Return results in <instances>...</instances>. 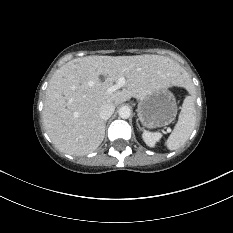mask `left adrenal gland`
<instances>
[{"label":"left adrenal gland","instance_id":"left-adrenal-gland-1","mask_svg":"<svg viewBox=\"0 0 233 233\" xmlns=\"http://www.w3.org/2000/svg\"><path fill=\"white\" fill-rule=\"evenodd\" d=\"M136 124H137V127H138L139 129H141V127H140V125H139V122H138V119L136 120Z\"/></svg>","mask_w":233,"mask_h":233}]
</instances>
